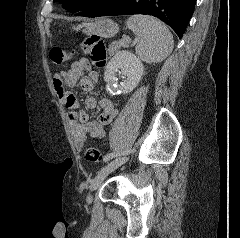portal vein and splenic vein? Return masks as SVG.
Returning <instances> with one entry per match:
<instances>
[{"label": "portal vein and splenic vein", "instance_id": "portal-vein-and-splenic-vein-1", "mask_svg": "<svg viewBox=\"0 0 240 238\" xmlns=\"http://www.w3.org/2000/svg\"><path fill=\"white\" fill-rule=\"evenodd\" d=\"M128 41H129L128 39H122V40H121L122 46H123V47H126Z\"/></svg>", "mask_w": 240, "mask_h": 238}]
</instances>
